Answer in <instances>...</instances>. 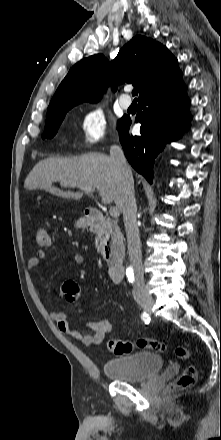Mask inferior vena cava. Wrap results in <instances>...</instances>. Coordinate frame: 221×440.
Instances as JSON below:
<instances>
[{
  "label": "inferior vena cava",
  "mask_w": 221,
  "mask_h": 440,
  "mask_svg": "<svg viewBox=\"0 0 221 440\" xmlns=\"http://www.w3.org/2000/svg\"><path fill=\"white\" fill-rule=\"evenodd\" d=\"M110 158L120 180V204L127 235L128 253L135 277V294H144V273L139 229L137 226V205L134 195V181L123 150L118 145L110 147Z\"/></svg>",
  "instance_id": "602c4592"
}]
</instances>
